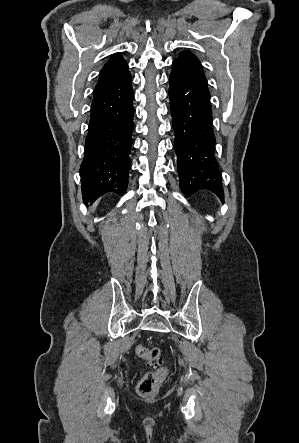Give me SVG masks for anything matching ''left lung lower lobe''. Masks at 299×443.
<instances>
[{"instance_id": "1", "label": "left lung lower lobe", "mask_w": 299, "mask_h": 443, "mask_svg": "<svg viewBox=\"0 0 299 443\" xmlns=\"http://www.w3.org/2000/svg\"><path fill=\"white\" fill-rule=\"evenodd\" d=\"M169 82L181 189L186 197L209 190L223 199L221 174L213 156L215 137L206 78L174 60Z\"/></svg>"}]
</instances>
